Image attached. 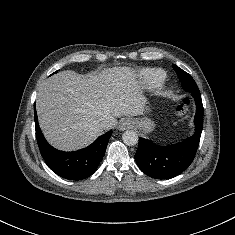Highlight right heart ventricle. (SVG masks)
<instances>
[{"mask_svg": "<svg viewBox=\"0 0 235 235\" xmlns=\"http://www.w3.org/2000/svg\"><path fill=\"white\" fill-rule=\"evenodd\" d=\"M139 77L145 86L153 88L165 80L166 73L159 68H144L140 70Z\"/></svg>", "mask_w": 235, "mask_h": 235, "instance_id": "1", "label": "right heart ventricle"}]
</instances>
